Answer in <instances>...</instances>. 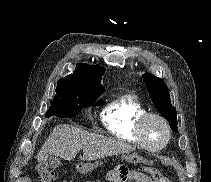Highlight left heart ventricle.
<instances>
[{"label": "left heart ventricle", "instance_id": "1", "mask_svg": "<svg viewBox=\"0 0 211 182\" xmlns=\"http://www.w3.org/2000/svg\"><path fill=\"white\" fill-rule=\"evenodd\" d=\"M144 137L150 146H158L166 138V130L163 124L157 119H150L144 126Z\"/></svg>", "mask_w": 211, "mask_h": 182}]
</instances>
